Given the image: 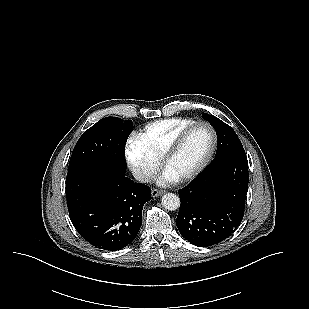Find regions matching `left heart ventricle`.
Listing matches in <instances>:
<instances>
[{"mask_svg": "<svg viewBox=\"0 0 309 309\" xmlns=\"http://www.w3.org/2000/svg\"><path fill=\"white\" fill-rule=\"evenodd\" d=\"M211 133L207 127L194 128L166 169L177 178L194 169L206 156L211 146Z\"/></svg>", "mask_w": 309, "mask_h": 309, "instance_id": "obj_1", "label": "left heart ventricle"}]
</instances>
